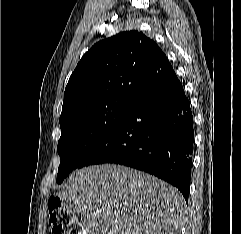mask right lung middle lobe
I'll return each instance as SVG.
<instances>
[{
    "mask_svg": "<svg viewBox=\"0 0 241 234\" xmlns=\"http://www.w3.org/2000/svg\"><path fill=\"white\" fill-rule=\"evenodd\" d=\"M132 103L106 102L76 110L60 121L58 154L61 162L57 182L74 169L121 122Z\"/></svg>",
    "mask_w": 241,
    "mask_h": 234,
    "instance_id": "obj_1",
    "label": "right lung middle lobe"
}]
</instances>
